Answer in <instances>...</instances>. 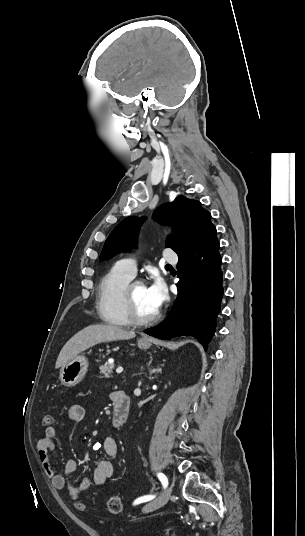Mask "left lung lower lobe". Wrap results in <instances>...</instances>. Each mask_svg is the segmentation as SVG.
<instances>
[{
	"instance_id": "1",
	"label": "left lung lower lobe",
	"mask_w": 305,
	"mask_h": 536,
	"mask_svg": "<svg viewBox=\"0 0 305 536\" xmlns=\"http://www.w3.org/2000/svg\"><path fill=\"white\" fill-rule=\"evenodd\" d=\"M221 263L219 241L213 227L190 251L179 256L176 302L161 324L144 332L163 340L192 336L207 350V343L216 330L223 296Z\"/></svg>"
}]
</instances>
